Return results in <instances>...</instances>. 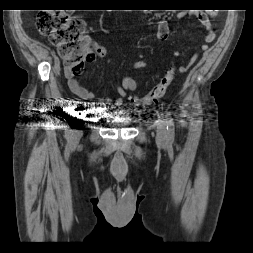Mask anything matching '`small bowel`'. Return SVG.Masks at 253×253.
Wrapping results in <instances>:
<instances>
[{
  "label": "small bowel",
  "mask_w": 253,
  "mask_h": 253,
  "mask_svg": "<svg viewBox=\"0 0 253 253\" xmlns=\"http://www.w3.org/2000/svg\"><path fill=\"white\" fill-rule=\"evenodd\" d=\"M188 15H191L196 18L198 23L204 28V40L206 43H210L215 38V32L211 26L210 16L211 13H204V12H194V13H187L185 11L180 12L177 17L178 19H184ZM157 29V39L160 42V45H164L169 37V26L166 20L160 19L156 24ZM209 46L207 44H203L201 49L203 51L208 50ZM94 56L100 59H106V51L104 48L93 45ZM197 59V54L193 55L190 59L188 66L182 67L181 70L185 71L190 65H192ZM147 63L145 61H136L132 64L133 73L125 76L121 85L116 86V90L118 93L117 98H101L97 93L89 91L86 89L76 78L75 75L65 67V76L68 80V85L70 90L77 95L78 97L84 100H96L100 104L104 105H111L113 104L116 107H121L123 105L124 99L127 96L128 92L135 91L137 89L136 83V75L138 74L139 70L145 68Z\"/></svg>",
  "instance_id": "c3829d8e"
}]
</instances>
